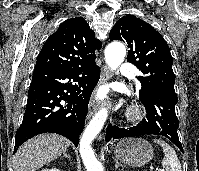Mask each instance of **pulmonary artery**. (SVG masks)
<instances>
[{
	"label": "pulmonary artery",
	"instance_id": "1",
	"mask_svg": "<svg viewBox=\"0 0 199 171\" xmlns=\"http://www.w3.org/2000/svg\"><path fill=\"white\" fill-rule=\"evenodd\" d=\"M120 71L122 75L130 77L136 76L137 74V70L135 69V67L129 63L122 64Z\"/></svg>",
	"mask_w": 199,
	"mask_h": 171
}]
</instances>
